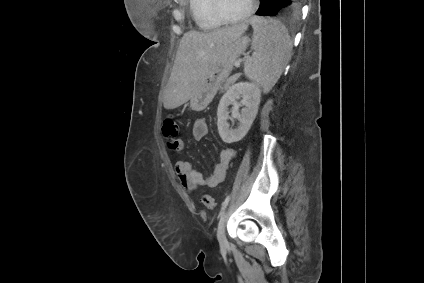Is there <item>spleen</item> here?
<instances>
[{"instance_id":"obj_1","label":"spleen","mask_w":424,"mask_h":283,"mask_svg":"<svg viewBox=\"0 0 424 283\" xmlns=\"http://www.w3.org/2000/svg\"><path fill=\"white\" fill-rule=\"evenodd\" d=\"M254 53L244 63L245 76L269 92L291 57L292 41L286 27L277 20L252 17Z\"/></svg>"}]
</instances>
